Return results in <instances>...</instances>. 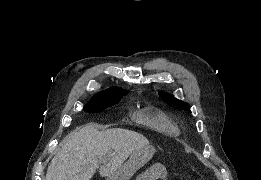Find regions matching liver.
Here are the masks:
<instances>
[{"instance_id": "liver-1", "label": "liver", "mask_w": 261, "mask_h": 180, "mask_svg": "<svg viewBox=\"0 0 261 180\" xmlns=\"http://www.w3.org/2000/svg\"><path fill=\"white\" fill-rule=\"evenodd\" d=\"M148 144L138 132L122 128L99 132L97 124H86L69 134L51 160L45 180H91L99 164L100 176H110L131 154Z\"/></svg>"}]
</instances>
